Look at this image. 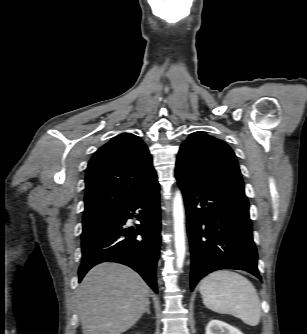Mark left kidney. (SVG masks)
I'll use <instances>...</instances> for the list:
<instances>
[{
	"label": "left kidney",
	"instance_id": "1",
	"mask_svg": "<svg viewBox=\"0 0 307 334\" xmlns=\"http://www.w3.org/2000/svg\"><path fill=\"white\" fill-rule=\"evenodd\" d=\"M205 334H243V333L227 323L213 319L208 323Z\"/></svg>",
	"mask_w": 307,
	"mask_h": 334
}]
</instances>
